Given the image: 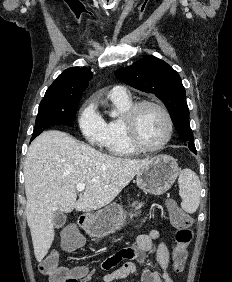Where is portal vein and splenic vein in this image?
<instances>
[{
  "label": "portal vein and splenic vein",
  "instance_id": "portal-vein-and-splenic-vein-1",
  "mask_svg": "<svg viewBox=\"0 0 232 282\" xmlns=\"http://www.w3.org/2000/svg\"><path fill=\"white\" fill-rule=\"evenodd\" d=\"M85 187H86V183H78L77 186H76V190L78 192H82V191H84Z\"/></svg>",
  "mask_w": 232,
  "mask_h": 282
}]
</instances>
